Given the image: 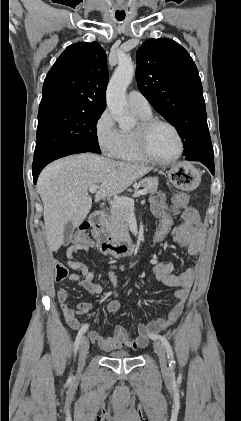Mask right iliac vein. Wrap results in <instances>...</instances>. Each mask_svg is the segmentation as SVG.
<instances>
[{
	"label": "right iliac vein",
	"mask_w": 241,
	"mask_h": 421,
	"mask_svg": "<svg viewBox=\"0 0 241 421\" xmlns=\"http://www.w3.org/2000/svg\"><path fill=\"white\" fill-rule=\"evenodd\" d=\"M89 350V340L84 337L79 348V370H82Z\"/></svg>",
	"instance_id": "right-iliac-vein-1"
}]
</instances>
